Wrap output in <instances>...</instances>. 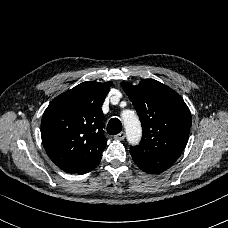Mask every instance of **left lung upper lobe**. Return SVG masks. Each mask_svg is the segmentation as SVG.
Listing matches in <instances>:
<instances>
[{
  "label": "left lung upper lobe",
  "mask_w": 228,
  "mask_h": 228,
  "mask_svg": "<svg viewBox=\"0 0 228 228\" xmlns=\"http://www.w3.org/2000/svg\"><path fill=\"white\" fill-rule=\"evenodd\" d=\"M132 101L142 125L139 145L130 147L140 167L162 172L171 167L187 144L191 113L184 100L168 86L144 79L134 86L121 83Z\"/></svg>",
  "instance_id": "left-lung-upper-lobe-1"
}]
</instances>
